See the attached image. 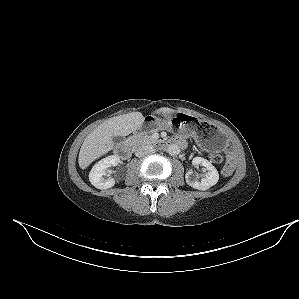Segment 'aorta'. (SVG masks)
<instances>
[{"instance_id":"aorta-1","label":"aorta","mask_w":299,"mask_h":299,"mask_svg":"<svg viewBox=\"0 0 299 299\" xmlns=\"http://www.w3.org/2000/svg\"><path fill=\"white\" fill-rule=\"evenodd\" d=\"M167 151L171 156H175L180 153V147L177 144H171Z\"/></svg>"}]
</instances>
